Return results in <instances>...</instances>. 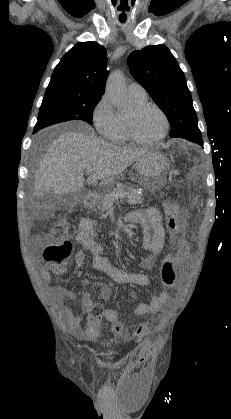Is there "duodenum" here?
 I'll return each instance as SVG.
<instances>
[{
	"instance_id": "410a0bca",
	"label": "duodenum",
	"mask_w": 231,
	"mask_h": 419,
	"mask_svg": "<svg viewBox=\"0 0 231 419\" xmlns=\"http://www.w3.org/2000/svg\"><path fill=\"white\" fill-rule=\"evenodd\" d=\"M96 200L97 196L95 193H87L84 199V204L86 207L91 208L95 205ZM129 221H131L130 218Z\"/></svg>"
}]
</instances>
